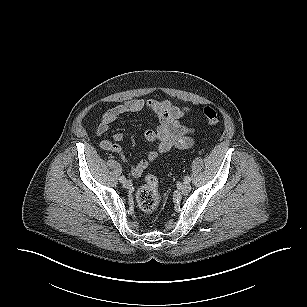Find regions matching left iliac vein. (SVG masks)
Wrapping results in <instances>:
<instances>
[{"instance_id":"1","label":"left iliac vein","mask_w":307,"mask_h":307,"mask_svg":"<svg viewBox=\"0 0 307 307\" xmlns=\"http://www.w3.org/2000/svg\"><path fill=\"white\" fill-rule=\"evenodd\" d=\"M179 188L182 192H189L191 190V185L189 182H184L180 185Z\"/></svg>"}]
</instances>
